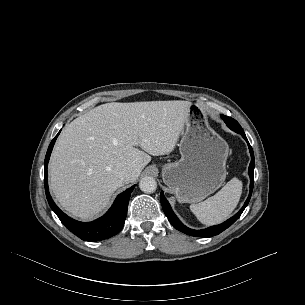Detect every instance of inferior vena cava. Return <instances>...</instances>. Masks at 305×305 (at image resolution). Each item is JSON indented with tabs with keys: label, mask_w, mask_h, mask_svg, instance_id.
<instances>
[{
	"label": "inferior vena cava",
	"mask_w": 305,
	"mask_h": 305,
	"mask_svg": "<svg viewBox=\"0 0 305 305\" xmlns=\"http://www.w3.org/2000/svg\"><path fill=\"white\" fill-rule=\"evenodd\" d=\"M132 177V172L128 169H123L119 173V179L124 183H129Z\"/></svg>",
	"instance_id": "602c4592"
}]
</instances>
